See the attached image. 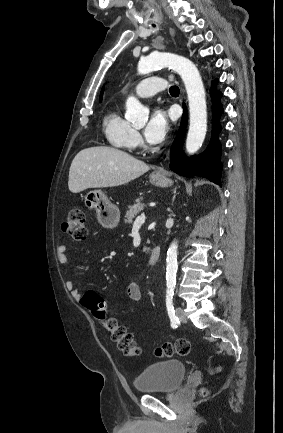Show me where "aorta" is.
I'll use <instances>...</instances> for the list:
<instances>
[{
	"label": "aorta",
	"instance_id": "1",
	"mask_svg": "<svg viewBox=\"0 0 283 433\" xmlns=\"http://www.w3.org/2000/svg\"><path fill=\"white\" fill-rule=\"evenodd\" d=\"M169 67L177 72L185 85L189 102V130L186 151L197 152L203 144L207 131V107L204 85L196 66L187 58L172 53L153 52L138 63V73L148 74L155 69ZM149 111L134 96L126 101V119L133 124H145ZM166 285L172 288L176 283L177 243L173 242L167 251Z\"/></svg>",
	"mask_w": 283,
	"mask_h": 433
}]
</instances>
